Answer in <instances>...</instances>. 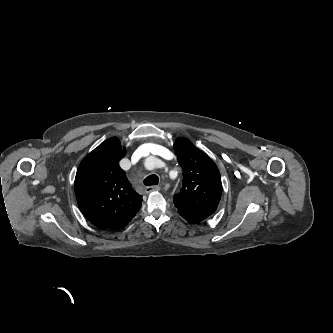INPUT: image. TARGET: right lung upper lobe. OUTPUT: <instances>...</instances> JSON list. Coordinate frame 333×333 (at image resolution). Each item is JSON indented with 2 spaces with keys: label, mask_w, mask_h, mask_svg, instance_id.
Returning a JSON list of instances; mask_svg holds the SVG:
<instances>
[{
  "label": "right lung upper lobe",
  "mask_w": 333,
  "mask_h": 333,
  "mask_svg": "<svg viewBox=\"0 0 333 333\" xmlns=\"http://www.w3.org/2000/svg\"><path fill=\"white\" fill-rule=\"evenodd\" d=\"M125 155L119 139L112 137L89 153L77 169L74 190L79 209L101 229L125 227L141 207L142 196L119 166Z\"/></svg>",
  "instance_id": "cb5924a9"
}]
</instances>
